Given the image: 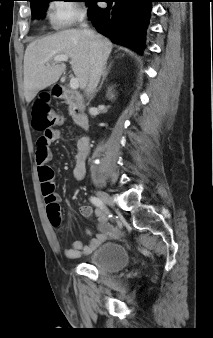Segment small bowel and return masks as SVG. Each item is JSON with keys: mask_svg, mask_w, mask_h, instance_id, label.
Returning a JSON list of instances; mask_svg holds the SVG:
<instances>
[{"mask_svg": "<svg viewBox=\"0 0 213 338\" xmlns=\"http://www.w3.org/2000/svg\"><path fill=\"white\" fill-rule=\"evenodd\" d=\"M60 132L58 130H54L52 135L46 136L42 135L37 140L36 146V163L38 165L39 171L40 169L46 168L51 169L48 163L51 160V144L59 139ZM89 138L87 136H81L77 143V151L75 154V166H74V174L77 178H82L85 174V164L87 155L89 153ZM61 202V197L57 194L53 195V198L50 202L47 203V216L50 220L51 212L53 209H57L58 215H61L59 204ZM92 208L90 206H83L80 209V212L84 216H89L92 213ZM96 216L98 218L97 222V233L95 235L92 234L91 230L87 229L86 234L89 237V242L87 244H83L81 241H74L71 247L65 250V256L69 259H76L81 257L84 254H88L92 251L94 247H96L100 242L105 240L109 235L117 236L118 232H110L108 228V223L106 219V214L102 210L96 211ZM59 227V223L56 225Z\"/></svg>", "mask_w": 213, "mask_h": 338, "instance_id": "c3829d8e", "label": "small bowel"}]
</instances>
